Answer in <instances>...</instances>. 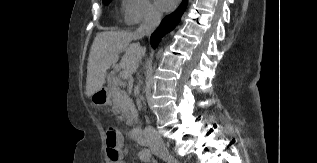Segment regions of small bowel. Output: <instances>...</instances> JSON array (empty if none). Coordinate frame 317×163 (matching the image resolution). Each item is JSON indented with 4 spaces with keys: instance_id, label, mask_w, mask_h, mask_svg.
Returning <instances> with one entry per match:
<instances>
[{
    "instance_id": "obj_1",
    "label": "small bowel",
    "mask_w": 317,
    "mask_h": 163,
    "mask_svg": "<svg viewBox=\"0 0 317 163\" xmlns=\"http://www.w3.org/2000/svg\"><path fill=\"white\" fill-rule=\"evenodd\" d=\"M138 158L142 163H155L151 160V153L148 149H139Z\"/></svg>"
}]
</instances>
